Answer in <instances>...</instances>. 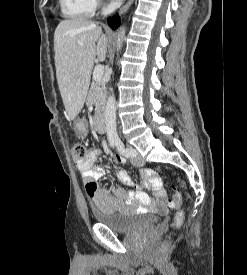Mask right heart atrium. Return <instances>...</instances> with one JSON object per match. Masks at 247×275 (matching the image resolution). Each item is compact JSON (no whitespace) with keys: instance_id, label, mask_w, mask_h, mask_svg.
I'll return each mask as SVG.
<instances>
[{"instance_id":"right-heart-atrium-1","label":"right heart atrium","mask_w":247,"mask_h":275,"mask_svg":"<svg viewBox=\"0 0 247 275\" xmlns=\"http://www.w3.org/2000/svg\"><path fill=\"white\" fill-rule=\"evenodd\" d=\"M99 4H102V2H101V1H99Z\"/></svg>"}]
</instances>
